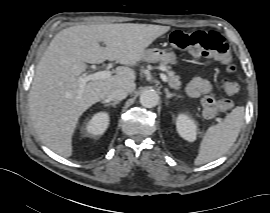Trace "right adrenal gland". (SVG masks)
I'll return each instance as SVG.
<instances>
[{
	"instance_id": "1",
	"label": "right adrenal gland",
	"mask_w": 270,
	"mask_h": 213,
	"mask_svg": "<svg viewBox=\"0 0 270 213\" xmlns=\"http://www.w3.org/2000/svg\"><path fill=\"white\" fill-rule=\"evenodd\" d=\"M120 102L119 101H115V102H112V103H109L108 100H104L102 101V104H104V106H112V107H116L117 104H119Z\"/></svg>"
}]
</instances>
